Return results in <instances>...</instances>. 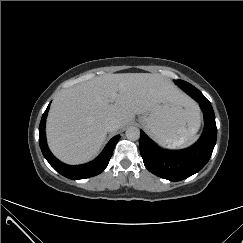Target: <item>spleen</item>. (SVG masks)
<instances>
[{
	"mask_svg": "<svg viewBox=\"0 0 243 243\" xmlns=\"http://www.w3.org/2000/svg\"><path fill=\"white\" fill-rule=\"evenodd\" d=\"M197 140V137L196 136H192L189 140L187 141H176L173 143V146L172 147H187L191 144H193L195 141Z\"/></svg>",
	"mask_w": 243,
	"mask_h": 243,
	"instance_id": "obj_1",
	"label": "spleen"
}]
</instances>
